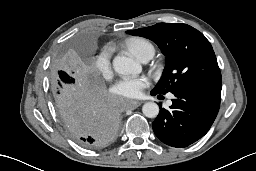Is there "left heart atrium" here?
<instances>
[{
  "label": "left heart atrium",
  "mask_w": 256,
  "mask_h": 171,
  "mask_svg": "<svg viewBox=\"0 0 256 171\" xmlns=\"http://www.w3.org/2000/svg\"><path fill=\"white\" fill-rule=\"evenodd\" d=\"M148 85L149 81L145 77H125L115 84L113 92L117 96L137 98Z\"/></svg>",
  "instance_id": "1"
}]
</instances>
